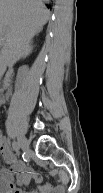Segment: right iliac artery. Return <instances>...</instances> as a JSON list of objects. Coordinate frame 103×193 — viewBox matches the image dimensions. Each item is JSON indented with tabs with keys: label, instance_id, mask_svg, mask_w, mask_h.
I'll use <instances>...</instances> for the list:
<instances>
[{
	"label": "right iliac artery",
	"instance_id": "1",
	"mask_svg": "<svg viewBox=\"0 0 103 193\" xmlns=\"http://www.w3.org/2000/svg\"><path fill=\"white\" fill-rule=\"evenodd\" d=\"M12 147L16 152H19L20 150V144L18 142H13Z\"/></svg>",
	"mask_w": 103,
	"mask_h": 193
}]
</instances>
